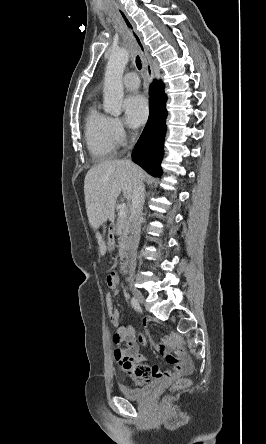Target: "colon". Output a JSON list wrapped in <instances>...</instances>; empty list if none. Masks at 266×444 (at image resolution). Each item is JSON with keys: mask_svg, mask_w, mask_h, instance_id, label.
<instances>
[{"mask_svg": "<svg viewBox=\"0 0 266 444\" xmlns=\"http://www.w3.org/2000/svg\"><path fill=\"white\" fill-rule=\"evenodd\" d=\"M106 311H107V314L110 318H113L119 312L117 310V308L115 307V304L113 301V296L110 294L107 295V297H106ZM189 384H190V381L188 379L182 378V379H179L175 383L174 388L175 389H184V388L188 387Z\"/></svg>", "mask_w": 266, "mask_h": 444, "instance_id": "5ec220e1", "label": "colon"}]
</instances>
